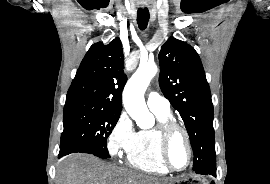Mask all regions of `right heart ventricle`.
<instances>
[{
  "mask_svg": "<svg viewBox=\"0 0 270 184\" xmlns=\"http://www.w3.org/2000/svg\"><path fill=\"white\" fill-rule=\"evenodd\" d=\"M159 122L172 119L169 112L153 111ZM127 164L135 169L158 175H165L169 170L162 164L159 155L156 128L137 132L133 145L127 153Z\"/></svg>",
  "mask_w": 270,
  "mask_h": 184,
  "instance_id": "right-heart-ventricle-1",
  "label": "right heart ventricle"
}]
</instances>
